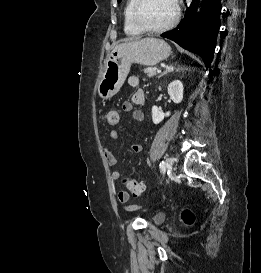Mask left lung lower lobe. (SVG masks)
<instances>
[{
	"instance_id": "1",
	"label": "left lung lower lobe",
	"mask_w": 261,
	"mask_h": 273,
	"mask_svg": "<svg viewBox=\"0 0 261 273\" xmlns=\"http://www.w3.org/2000/svg\"><path fill=\"white\" fill-rule=\"evenodd\" d=\"M193 1L179 25L162 37L173 40L186 50L198 54L209 67L213 60L220 28L221 0H203L201 13Z\"/></svg>"
}]
</instances>
